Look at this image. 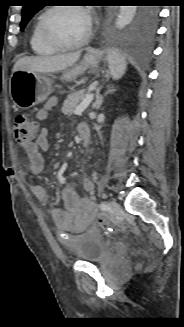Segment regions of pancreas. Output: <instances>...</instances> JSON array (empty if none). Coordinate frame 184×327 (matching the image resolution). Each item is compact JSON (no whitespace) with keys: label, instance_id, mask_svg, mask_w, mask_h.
<instances>
[{"label":"pancreas","instance_id":"cf45deb5","mask_svg":"<svg viewBox=\"0 0 184 327\" xmlns=\"http://www.w3.org/2000/svg\"><path fill=\"white\" fill-rule=\"evenodd\" d=\"M86 97V93L83 91L70 93L65 99L62 107V113L65 115H71L75 109L79 106V103Z\"/></svg>","mask_w":184,"mask_h":327}]
</instances>
